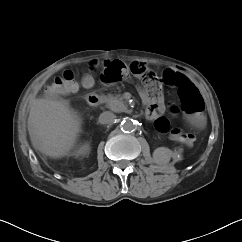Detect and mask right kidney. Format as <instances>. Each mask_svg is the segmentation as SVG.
Returning <instances> with one entry per match:
<instances>
[{
  "label": "right kidney",
  "instance_id": "ca27d5eb",
  "mask_svg": "<svg viewBox=\"0 0 242 242\" xmlns=\"http://www.w3.org/2000/svg\"><path fill=\"white\" fill-rule=\"evenodd\" d=\"M90 151V146L88 143L82 144L75 152L74 155L79 157V156H85L89 153Z\"/></svg>",
  "mask_w": 242,
  "mask_h": 242
}]
</instances>
